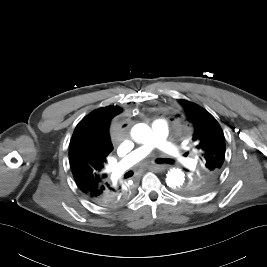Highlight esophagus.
Instances as JSON below:
<instances>
[{
    "mask_svg": "<svg viewBox=\"0 0 267 267\" xmlns=\"http://www.w3.org/2000/svg\"><path fill=\"white\" fill-rule=\"evenodd\" d=\"M150 169L157 171V172H161V171L165 170V165H151Z\"/></svg>",
    "mask_w": 267,
    "mask_h": 267,
    "instance_id": "esophagus-1",
    "label": "esophagus"
}]
</instances>
